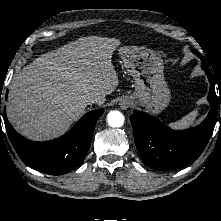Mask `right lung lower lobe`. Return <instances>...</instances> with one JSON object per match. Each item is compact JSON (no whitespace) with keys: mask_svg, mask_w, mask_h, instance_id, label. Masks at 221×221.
Segmentation results:
<instances>
[{"mask_svg":"<svg viewBox=\"0 0 221 221\" xmlns=\"http://www.w3.org/2000/svg\"><path fill=\"white\" fill-rule=\"evenodd\" d=\"M103 112V109H97L86 113L66 134L46 142H33L18 134L5 112L4 124L14 149L27 166L42 173L62 175L82 164L90 148L96 122Z\"/></svg>","mask_w":221,"mask_h":221,"instance_id":"1","label":"right lung lower lobe"}]
</instances>
